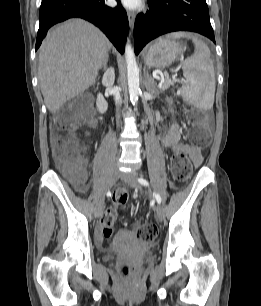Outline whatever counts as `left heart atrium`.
I'll return each instance as SVG.
<instances>
[{"instance_id":"1","label":"left heart atrium","mask_w":261,"mask_h":306,"mask_svg":"<svg viewBox=\"0 0 261 306\" xmlns=\"http://www.w3.org/2000/svg\"><path fill=\"white\" fill-rule=\"evenodd\" d=\"M122 3L127 8L135 9L140 6L141 0H122Z\"/></svg>"}]
</instances>
